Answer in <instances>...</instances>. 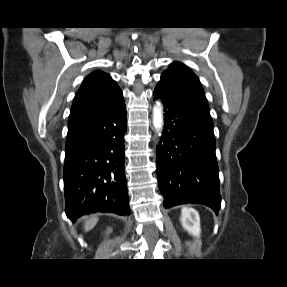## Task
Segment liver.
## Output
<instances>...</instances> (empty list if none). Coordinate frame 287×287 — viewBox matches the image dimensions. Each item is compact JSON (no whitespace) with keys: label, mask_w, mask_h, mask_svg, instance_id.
<instances>
[{"label":"liver","mask_w":287,"mask_h":287,"mask_svg":"<svg viewBox=\"0 0 287 287\" xmlns=\"http://www.w3.org/2000/svg\"><path fill=\"white\" fill-rule=\"evenodd\" d=\"M98 222V218L96 216H91L89 218H86L85 224H84V230L90 231L95 227V225Z\"/></svg>","instance_id":"liver-1"}]
</instances>
